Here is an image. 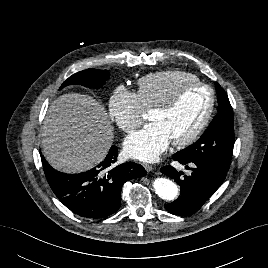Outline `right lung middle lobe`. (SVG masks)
I'll use <instances>...</instances> for the list:
<instances>
[{
	"mask_svg": "<svg viewBox=\"0 0 268 268\" xmlns=\"http://www.w3.org/2000/svg\"><path fill=\"white\" fill-rule=\"evenodd\" d=\"M108 78L109 72L107 70L86 69L69 77L61 85L60 89L70 84H80L89 88H100Z\"/></svg>",
	"mask_w": 268,
	"mask_h": 268,
	"instance_id": "right-lung-middle-lobe-1",
	"label": "right lung middle lobe"
}]
</instances>
